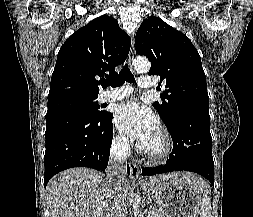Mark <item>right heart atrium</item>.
Returning a JSON list of instances; mask_svg holds the SVG:
<instances>
[{"mask_svg": "<svg viewBox=\"0 0 253 217\" xmlns=\"http://www.w3.org/2000/svg\"><path fill=\"white\" fill-rule=\"evenodd\" d=\"M114 146L121 152H126L128 149V141L122 134H118L114 138Z\"/></svg>", "mask_w": 253, "mask_h": 217, "instance_id": "1", "label": "right heart atrium"}]
</instances>
